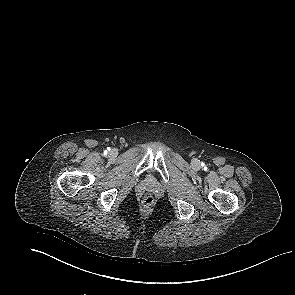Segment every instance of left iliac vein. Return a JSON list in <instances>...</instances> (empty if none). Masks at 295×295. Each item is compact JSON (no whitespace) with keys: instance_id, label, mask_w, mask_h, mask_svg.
I'll use <instances>...</instances> for the list:
<instances>
[{"instance_id":"1","label":"left iliac vein","mask_w":295,"mask_h":295,"mask_svg":"<svg viewBox=\"0 0 295 295\" xmlns=\"http://www.w3.org/2000/svg\"><path fill=\"white\" fill-rule=\"evenodd\" d=\"M193 165L194 166H198V162L195 160V161H193Z\"/></svg>"}]
</instances>
